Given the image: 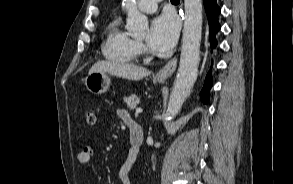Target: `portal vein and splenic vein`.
<instances>
[{
    "instance_id": "1",
    "label": "portal vein and splenic vein",
    "mask_w": 293,
    "mask_h": 184,
    "mask_svg": "<svg viewBox=\"0 0 293 184\" xmlns=\"http://www.w3.org/2000/svg\"><path fill=\"white\" fill-rule=\"evenodd\" d=\"M142 111H143V110H142L141 108H137V109H136V114L142 113Z\"/></svg>"
}]
</instances>
